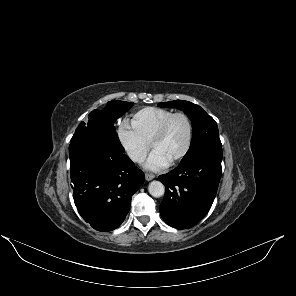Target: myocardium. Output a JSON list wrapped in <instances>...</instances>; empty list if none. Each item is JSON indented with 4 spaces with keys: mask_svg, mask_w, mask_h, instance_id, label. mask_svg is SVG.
Returning <instances> with one entry per match:
<instances>
[{
    "mask_svg": "<svg viewBox=\"0 0 296 296\" xmlns=\"http://www.w3.org/2000/svg\"><path fill=\"white\" fill-rule=\"evenodd\" d=\"M183 117L188 125V138H187V142L186 145L184 147V149L182 150V152L172 161L169 163V165L174 166L177 165L178 163H180L188 154V152L190 151L191 145H192V141H193V133H194V127H193V122L191 117L183 112H175L172 113L169 117H167L164 122L161 124V126L159 127L158 131L156 132L152 142H151V149L153 150L155 145L160 142L163 137L166 134V131L170 125V123L176 118V117Z\"/></svg>",
    "mask_w": 296,
    "mask_h": 296,
    "instance_id": "myocardium-1",
    "label": "myocardium"
}]
</instances>
